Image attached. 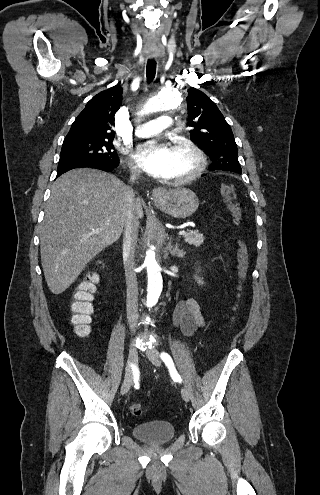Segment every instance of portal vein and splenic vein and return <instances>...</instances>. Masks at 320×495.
Returning a JSON list of instances; mask_svg holds the SVG:
<instances>
[{
  "label": "portal vein and splenic vein",
  "mask_w": 320,
  "mask_h": 495,
  "mask_svg": "<svg viewBox=\"0 0 320 495\" xmlns=\"http://www.w3.org/2000/svg\"><path fill=\"white\" fill-rule=\"evenodd\" d=\"M185 234H186V232H185V231H180V232H179V235H185Z\"/></svg>",
  "instance_id": "obj_1"
}]
</instances>
